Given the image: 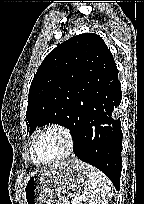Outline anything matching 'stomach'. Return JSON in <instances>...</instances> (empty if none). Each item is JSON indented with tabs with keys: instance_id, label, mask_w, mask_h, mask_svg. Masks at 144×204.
<instances>
[{
	"instance_id": "stomach-1",
	"label": "stomach",
	"mask_w": 144,
	"mask_h": 204,
	"mask_svg": "<svg viewBox=\"0 0 144 204\" xmlns=\"http://www.w3.org/2000/svg\"><path fill=\"white\" fill-rule=\"evenodd\" d=\"M88 165L70 160L30 175L23 188L25 204H69L88 183Z\"/></svg>"
}]
</instances>
